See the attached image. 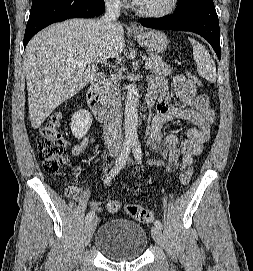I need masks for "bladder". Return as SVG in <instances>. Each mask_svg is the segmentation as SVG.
Returning <instances> with one entry per match:
<instances>
[{
	"label": "bladder",
	"mask_w": 253,
	"mask_h": 271,
	"mask_svg": "<svg viewBox=\"0 0 253 271\" xmlns=\"http://www.w3.org/2000/svg\"><path fill=\"white\" fill-rule=\"evenodd\" d=\"M148 245L145 229L128 219L105 222L95 236V247L112 261H130L140 258Z\"/></svg>",
	"instance_id": "1"
}]
</instances>
